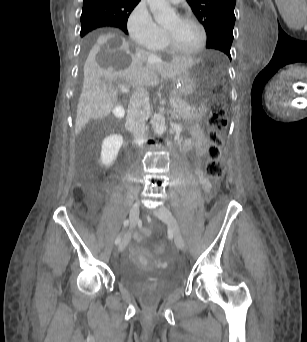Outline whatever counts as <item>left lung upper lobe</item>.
<instances>
[{
  "instance_id": "obj_1",
  "label": "left lung upper lobe",
  "mask_w": 307,
  "mask_h": 342,
  "mask_svg": "<svg viewBox=\"0 0 307 342\" xmlns=\"http://www.w3.org/2000/svg\"><path fill=\"white\" fill-rule=\"evenodd\" d=\"M207 33L206 48L224 52L230 59L236 0H187Z\"/></svg>"
}]
</instances>
